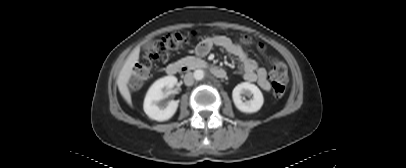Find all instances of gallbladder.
<instances>
[{
  "label": "gallbladder",
  "mask_w": 406,
  "mask_h": 168,
  "mask_svg": "<svg viewBox=\"0 0 406 168\" xmlns=\"http://www.w3.org/2000/svg\"><path fill=\"white\" fill-rule=\"evenodd\" d=\"M144 50H151L154 49V42L153 41H149L147 42L144 46H143Z\"/></svg>",
  "instance_id": "bac80fb5"
}]
</instances>
